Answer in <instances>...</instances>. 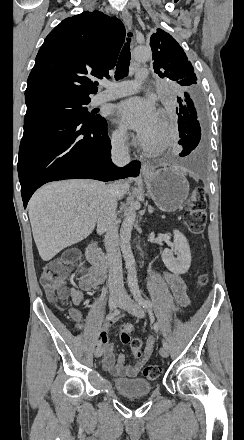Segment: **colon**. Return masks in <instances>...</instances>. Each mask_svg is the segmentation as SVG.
<instances>
[{
    "label": "colon",
    "mask_w": 244,
    "mask_h": 440,
    "mask_svg": "<svg viewBox=\"0 0 244 440\" xmlns=\"http://www.w3.org/2000/svg\"><path fill=\"white\" fill-rule=\"evenodd\" d=\"M206 220L207 213L204 190L202 188H196L191 195L189 207L186 209L185 222L193 234H198L204 230ZM64 254L65 257L62 260H54L50 262L45 267L44 272L40 277L42 288L54 301H60L67 298L68 291L64 284L69 274L74 270L79 251L77 248H66ZM197 280L201 285L207 282L205 276H200ZM68 311L70 314H77L79 308L77 305H70ZM122 327L124 330L120 331V341L125 344L130 342L133 356L135 358H140L143 349L142 340L133 339L130 341L129 336L127 335V331H132L134 326L127 322ZM160 373V366L150 364L144 368L143 376L147 381H155Z\"/></svg>",
    "instance_id": "colon-1"
}]
</instances>
